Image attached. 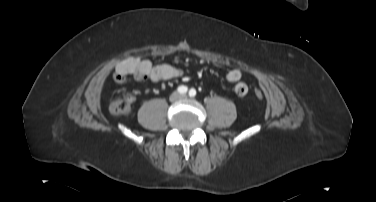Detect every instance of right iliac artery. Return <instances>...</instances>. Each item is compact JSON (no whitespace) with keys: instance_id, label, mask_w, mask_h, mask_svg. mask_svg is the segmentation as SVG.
Here are the masks:
<instances>
[{"instance_id":"obj_1","label":"right iliac artery","mask_w":376,"mask_h":202,"mask_svg":"<svg viewBox=\"0 0 376 202\" xmlns=\"http://www.w3.org/2000/svg\"><path fill=\"white\" fill-rule=\"evenodd\" d=\"M187 91H188V88L186 86H184V85H181V86L178 87V92L180 94H186Z\"/></svg>"}]
</instances>
